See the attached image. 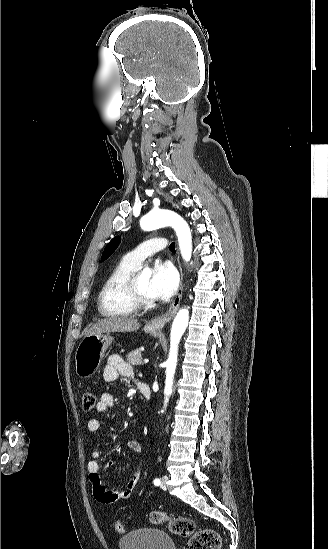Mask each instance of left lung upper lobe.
I'll return each instance as SVG.
<instances>
[{
  "label": "left lung upper lobe",
  "instance_id": "left-lung-upper-lobe-1",
  "mask_svg": "<svg viewBox=\"0 0 328 549\" xmlns=\"http://www.w3.org/2000/svg\"><path fill=\"white\" fill-rule=\"evenodd\" d=\"M119 243H120V237L119 236L114 237L105 247L101 260L102 261L106 260L115 251Z\"/></svg>",
  "mask_w": 328,
  "mask_h": 549
}]
</instances>
